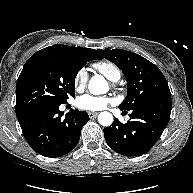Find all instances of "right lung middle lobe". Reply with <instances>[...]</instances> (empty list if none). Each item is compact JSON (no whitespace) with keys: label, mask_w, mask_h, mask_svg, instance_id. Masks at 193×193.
<instances>
[{"label":"right lung middle lobe","mask_w":193,"mask_h":193,"mask_svg":"<svg viewBox=\"0 0 193 193\" xmlns=\"http://www.w3.org/2000/svg\"><path fill=\"white\" fill-rule=\"evenodd\" d=\"M90 59L65 54H34L24 65L16 85V116L46 103L64 104L74 97L79 70Z\"/></svg>","instance_id":"1"}]
</instances>
